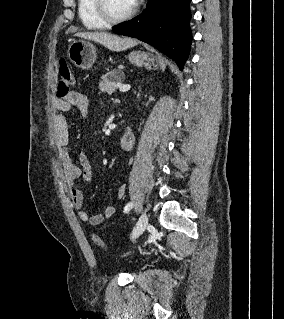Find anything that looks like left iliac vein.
Here are the masks:
<instances>
[{
  "label": "left iliac vein",
  "instance_id": "left-iliac-vein-1",
  "mask_svg": "<svg viewBox=\"0 0 284 319\" xmlns=\"http://www.w3.org/2000/svg\"><path fill=\"white\" fill-rule=\"evenodd\" d=\"M147 225H148V216L146 212H143L132 231L131 238L133 240L138 238L144 232Z\"/></svg>",
  "mask_w": 284,
  "mask_h": 319
}]
</instances>
